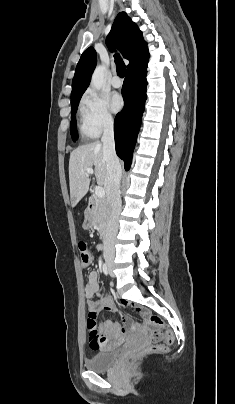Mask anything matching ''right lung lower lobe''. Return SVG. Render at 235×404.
Returning a JSON list of instances; mask_svg holds the SVG:
<instances>
[{
  "label": "right lung lower lobe",
  "instance_id": "1",
  "mask_svg": "<svg viewBox=\"0 0 235 404\" xmlns=\"http://www.w3.org/2000/svg\"><path fill=\"white\" fill-rule=\"evenodd\" d=\"M147 62L126 72L122 87L124 108L114 121V137L117 155L124 161L125 170H129L132 153L141 125L146 96Z\"/></svg>",
  "mask_w": 235,
  "mask_h": 404
}]
</instances>
